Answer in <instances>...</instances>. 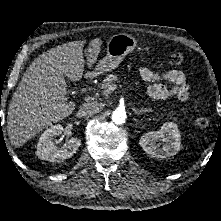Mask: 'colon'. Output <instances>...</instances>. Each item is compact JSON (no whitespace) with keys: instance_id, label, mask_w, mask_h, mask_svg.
<instances>
[{"instance_id":"5ec220e1","label":"colon","mask_w":221,"mask_h":221,"mask_svg":"<svg viewBox=\"0 0 221 221\" xmlns=\"http://www.w3.org/2000/svg\"><path fill=\"white\" fill-rule=\"evenodd\" d=\"M168 62L172 66H180L184 62V56L179 52L171 53L168 56ZM196 106H200V101H196ZM195 124L200 128H207L210 122L206 117L198 115L195 117Z\"/></svg>"}]
</instances>
